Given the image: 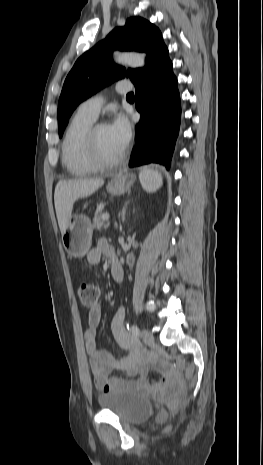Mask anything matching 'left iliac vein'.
<instances>
[{"label":"left iliac vein","mask_w":263,"mask_h":465,"mask_svg":"<svg viewBox=\"0 0 263 465\" xmlns=\"http://www.w3.org/2000/svg\"><path fill=\"white\" fill-rule=\"evenodd\" d=\"M141 336H142L143 341H144L147 345L153 344V342H154V337H153L152 333H151L149 330L143 329L142 332H141Z\"/></svg>","instance_id":"4c4485c4"}]
</instances>
